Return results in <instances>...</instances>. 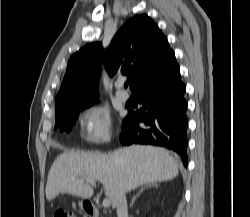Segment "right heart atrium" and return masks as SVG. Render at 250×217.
Here are the masks:
<instances>
[{
    "label": "right heart atrium",
    "mask_w": 250,
    "mask_h": 217,
    "mask_svg": "<svg viewBox=\"0 0 250 217\" xmlns=\"http://www.w3.org/2000/svg\"><path fill=\"white\" fill-rule=\"evenodd\" d=\"M80 134L89 144L106 143L111 138V117L109 112L98 105L83 108L78 114Z\"/></svg>",
    "instance_id": "1"
}]
</instances>
